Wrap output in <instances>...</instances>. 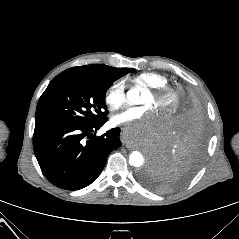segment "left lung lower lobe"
Wrapping results in <instances>:
<instances>
[{
	"label": "left lung lower lobe",
	"instance_id": "1",
	"mask_svg": "<svg viewBox=\"0 0 239 239\" xmlns=\"http://www.w3.org/2000/svg\"><path fill=\"white\" fill-rule=\"evenodd\" d=\"M206 138L205 113L199 96L184 95L173 124L151 154L147 170L161 177L167 189L185 184L200 164Z\"/></svg>",
	"mask_w": 239,
	"mask_h": 239
}]
</instances>
